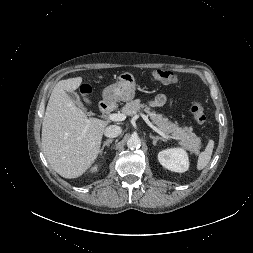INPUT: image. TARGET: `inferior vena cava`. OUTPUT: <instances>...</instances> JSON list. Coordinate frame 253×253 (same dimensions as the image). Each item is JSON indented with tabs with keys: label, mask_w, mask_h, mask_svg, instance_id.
<instances>
[{
	"label": "inferior vena cava",
	"mask_w": 253,
	"mask_h": 253,
	"mask_svg": "<svg viewBox=\"0 0 253 253\" xmlns=\"http://www.w3.org/2000/svg\"><path fill=\"white\" fill-rule=\"evenodd\" d=\"M122 129L120 126L117 125H110L105 128L104 135L109 138L117 137L121 134Z\"/></svg>",
	"instance_id": "1"
}]
</instances>
